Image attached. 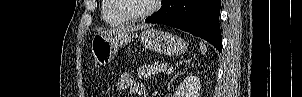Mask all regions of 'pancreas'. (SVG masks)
Returning <instances> with one entry per match:
<instances>
[{"label": "pancreas", "mask_w": 302, "mask_h": 97, "mask_svg": "<svg viewBox=\"0 0 302 97\" xmlns=\"http://www.w3.org/2000/svg\"><path fill=\"white\" fill-rule=\"evenodd\" d=\"M169 67L168 63H151L147 65H143L138 69V77L139 78H151L154 77L155 74L165 72Z\"/></svg>", "instance_id": "pancreas-1"}]
</instances>
